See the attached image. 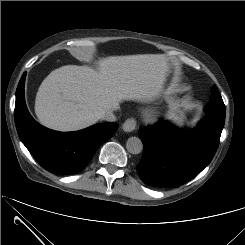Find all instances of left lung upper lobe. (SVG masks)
Masks as SVG:
<instances>
[{
    "mask_svg": "<svg viewBox=\"0 0 245 245\" xmlns=\"http://www.w3.org/2000/svg\"><path fill=\"white\" fill-rule=\"evenodd\" d=\"M205 112L225 119V105L215 86L212 88L210 101L205 106Z\"/></svg>",
    "mask_w": 245,
    "mask_h": 245,
    "instance_id": "left-lung-upper-lobe-1",
    "label": "left lung upper lobe"
}]
</instances>
